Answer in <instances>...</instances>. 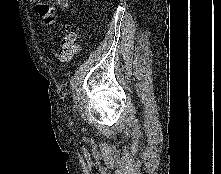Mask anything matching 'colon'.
<instances>
[{"instance_id":"1","label":"colon","mask_w":221,"mask_h":174,"mask_svg":"<svg viewBox=\"0 0 221 174\" xmlns=\"http://www.w3.org/2000/svg\"><path fill=\"white\" fill-rule=\"evenodd\" d=\"M78 37V29L73 24H67L65 33L60 39L59 47L56 50V57L62 62L70 61L78 52L79 47L76 43Z\"/></svg>"}]
</instances>
